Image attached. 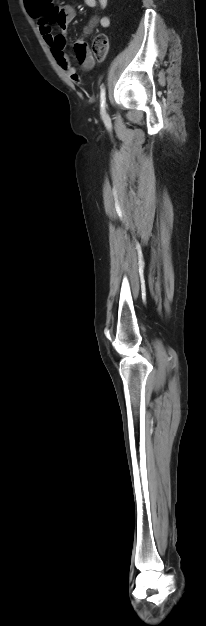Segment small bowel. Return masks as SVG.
I'll return each instance as SVG.
<instances>
[{
    "instance_id": "c3829d8e",
    "label": "small bowel",
    "mask_w": 206,
    "mask_h": 626,
    "mask_svg": "<svg viewBox=\"0 0 206 626\" xmlns=\"http://www.w3.org/2000/svg\"><path fill=\"white\" fill-rule=\"evenodd\" d=\"M86 6L90 8H106L108 0H84ZM26 7L30 15L37 19L40 32L44 41L50 47L52 54L61 69L76 84H81L83 79L71 65L69 57L65 51L68 38L65 33L68 25L76 16L75 9L71 5L55 7L51 0H26ZM56 24L61 30L56 33L53 29ZM107 28L110 19L107 16H94L83 30V36L74 43V53L77 62L84 70H90L95 65L93 57L85 38L96 26Z\"/></svg>"
}]
</instances>
